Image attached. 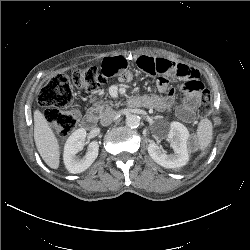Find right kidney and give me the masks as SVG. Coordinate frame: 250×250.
<instances>
[{
  "label": "right kidney",
  "instance_id": "1",
  "mask_svg": "<svg viewBox=\"0 0 250 250\" xmlns=\"http://www.w3.org/2000/svg\"><path fill=\"white\" fill-rule=\"evenodd\" d=\"M86 138V130L77 129L67 139L64 146L63 160L66 169L77 174L88 169L98 156L99 145L96 141L89 144L88 150L83 158H78L76 154L82 150L83 142Z\"/></svg>",
  "mask_w": 250,
  "mask_h": 250
}]
</instances>
